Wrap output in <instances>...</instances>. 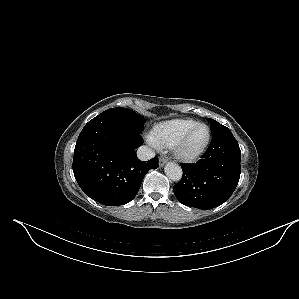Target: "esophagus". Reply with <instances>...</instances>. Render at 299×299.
Segmentation results:
<instances>
[{"mask_svg":"<svg viewBox=\"0 0 299 299\" xmlns=\"http://www.w3.org/2000/svg\"><path fill=\"white\" fill-rule=\"evenodd\" d=\"M168 161L166 157H160L159 159V166L162 167Z\"/></svg>","mask_w":299,"mask_h":299,"instance_id":"34e87169","label":"esophagus"}]
</instances>
